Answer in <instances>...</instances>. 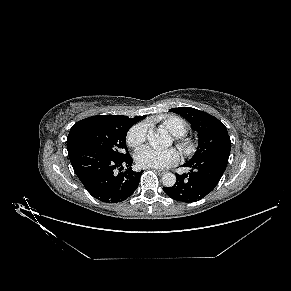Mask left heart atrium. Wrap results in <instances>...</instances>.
Returning <instances> with one entry per match:
<instances>
[{
    "instance_id": "39dd6f15",
    "label": "left heart atrium",
    "mask_w": 291,
    "mask_h": 291,
    "mask_svg": "<svg viewBox=\"0 0 291 291\" xmlns=\"http://www.w3.org/2000/svg\"><path fill=\"white\" fill-rule=\"evenodd\" d=\"M179 160V152L175 148L158 149L150 146L142 148L136 155V162L141 167L164 169Z\"/></svg>"
}]
</instances>
